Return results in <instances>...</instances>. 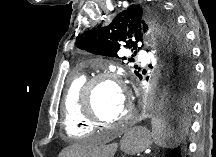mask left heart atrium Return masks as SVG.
<instances>
[{
  "mask_svg": "<svg viewBox=\"0 0 216 157\" xmlns=\"http://www.w3.org/2000/svg\"><path fill=\"white\" fill-rule=\"evenodd\" d=\"M121 97H122V101L124 103H126L127 102V96L123 92H121Z\"/></svg>",
  "mask_w": 216,
  "mask_h": 157,
  "instance_id": "left-heart-atrium-1",
  "label": "left heart atrium"
}]
</instances>
